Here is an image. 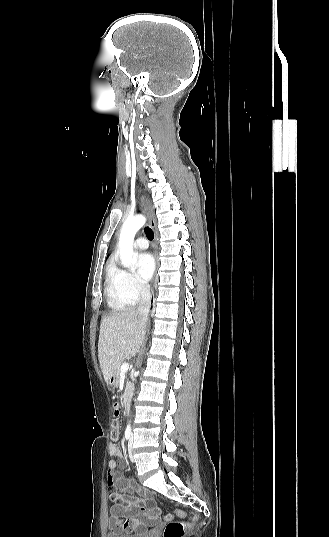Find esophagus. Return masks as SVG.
<instances>
[{
  "label": "esophagus",
  "instance_id": "34e87169",
  "mask_svg": "<svg viewBox=\"0 0 329 537\" xmlns=\"http://www.w3.org/2000/svg\"><path fill=\"white\" fill-rule=\"evenodd\" d=\"M143 204L147 212V215L149 217L150 227L154 233V245H155L154 257H155V264H156V270H155L153 280H152V285H154L157 280V268H158V255H157L158 232L156 228V217H155L154 208L151 202L145 197H143Z\"/></svg>",
  "mask_w": 329,
  "mask_h": 537
}]
</instances>
